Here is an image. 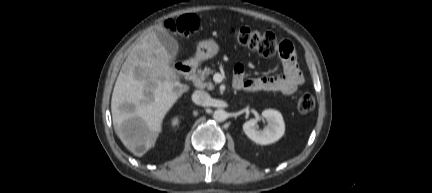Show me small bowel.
<instances>
[{"instance_id": "obj_1", "label": "small bowel", "mask_w": 432, "mask_h": 193, "mask_svg": "<svg viewBox=\"0 0 432 193\" xmlns=\"http://www.w3.org/2000/svg\"><path fill=\"white\" fill-rule=\"evenodd\" d=\"M291 52L287 55L281 54L283 72L277 75H266L255 78H245L244 66L237 63L234 67V85L237 89L247 91H273L284 95L294 94L298 87L305 82V77L297 63L292 44Z\"/></svg>"}]
</instances>
